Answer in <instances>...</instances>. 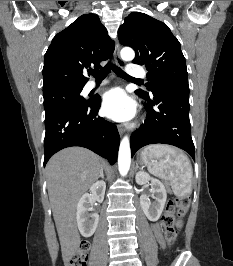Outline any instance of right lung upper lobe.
Masks as SVG:
<instances>
[{
    "mask_svg": "<svg viewBox=\"0 0 233 266\" xmlns=\"http://www.w3.org/2000/svg\"><path fill=\"white\" fill-rule=\"evenodd\" d=\"M114 51V42L97 15L80 16L52 40L43 67V94L83 88L88 78L83 72L107 60Z\"/></svg>",
    "mask_w": 233,
    "mask_h": 266,
    "instance_id": "obj_1",
    "label": "right lung upper lobe"
}]
</instances>
